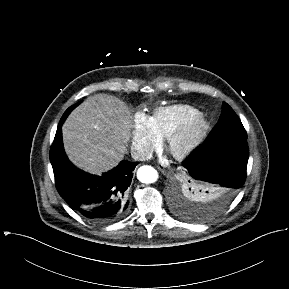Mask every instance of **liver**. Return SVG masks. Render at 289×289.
<instances>
[{"label":"liver","mask_w":289,"mask_h":289,"mask_svg":"<svg viewBox=\"0 0 289 289\" xmlns=\"http://www.w3.org/2000/svg\"><path fill=\"white\" fill-rule=\"evenodd\" d=\"M131 128L130 111L121 100L107 94L90 96L62 126L65 152L77 167L100 175L123 159Z\"/></svg>","instance_id":"obj_1"}]
</instances>
